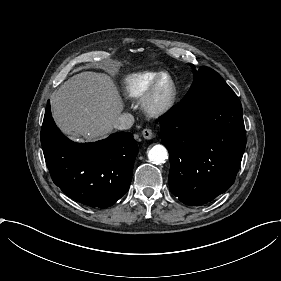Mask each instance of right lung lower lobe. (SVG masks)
<instances>
[{
	"instance_id": "1",
	"label": "right lung lower lobe",
	"mask_w": 281,
	"mask_h": 281,
	"mask_svg": "<svg viewBox=\"0 0 281 281\" xmlns=\"http://www.w3.org/2000/svg\"><path fill=\"white\" fill-rule=\"evenodd\" d=\"M41 144L53 182L77 202L107 208L128 191L138 153L131 133H115L95 143L72 142L55 125L48 101Z\"/></svg>"
}]
</instances>
